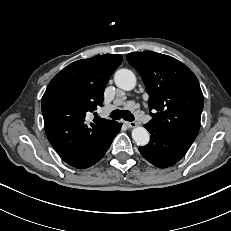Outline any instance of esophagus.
I'll return each mask as SVG.
<instances>
[{
    "mask_svg": "<svg viewBox=\"0 0 231 231\" xmlns=\"http://www.w3.org/2000/svg\"><path fill=\"white\" fill-rule=\"evenodd\" d=\"M125 124L129 127V128H134L137 126V123L136 122H125Z\"/></svg>",
    "mask_w": 231,
    "mask_h": 231,
    "instance_id": "34e87169",
    "label": "esophagus"
}]
</instances>
